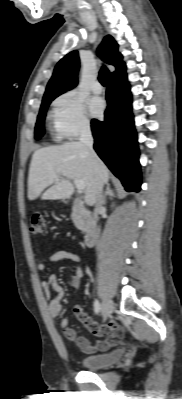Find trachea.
<instances>
[{
    "label": "trachea",
    "instance_id": "trachea-1",
    "mask_svg": "<svg viewBox=\"0 0 182 399\" xmlns=\"http://www.w3.org/2000/svg\"><path fill=\"white\" fill-rule=\"evenodd\" d=\"M99 81L103 86H107L109 82V71L106 67H102L99 72Z\"/></svg>",
    "mask_w": 182,
    "mask_h": 399
}]
</instances>
